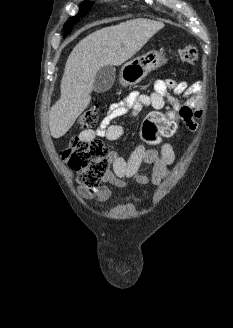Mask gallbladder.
Segmentation results:
<instances>
[{
	"label": "gallbladder",
	"mask_w": 233,
	"mask_h": 328,
	"mask_svg": "<svg viewBox=\"0 0 233 328\" xmlns=\"http://www.w3.org/2000/svg\"><path fill=\"white\" fill-rule=\"evenodd\" d=\"M116 71L114 66L106 65L101 67L93 82V90L96 93H103L109 90L115 82Z\"/></svg>",
	"instance_id": "bac80fb5"
}]
</instances>
